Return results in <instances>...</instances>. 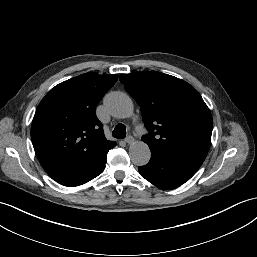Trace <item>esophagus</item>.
Returning a JSON list of instances; mask_svg holds the SVG:
<instances>
[{
	"label": "esophagus",
	"instance_id": "1",
	"mask_svg": "<svg viewBox=\"0 0 257 257\" xmlns=\"http://www.w3.org/2000/svg\"><path fill=\"white\" fill-rule=\"evenodd\" d=\"M125 142L127 144H132L134 142V138L132 136H128L126 137Z\"/></svg>",
	"mask_w": 257,
	"mask_h": 257
}]
</instances>
